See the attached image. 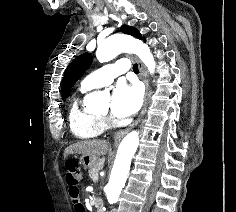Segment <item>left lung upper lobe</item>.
<instances>
[{
	"label": "left lung upper lobe",
	"instance_id": "obj_1",
	"mask_svg": "<svg viewBox=\"0 0 236 212\" xmlns=\"http://www.w3.org/2000/svg\"><path fill=\"white\" fill-rule=\"evenodd\" d=\"M121 31L123 33L135 36L139 39H144L142 38L141 34L139 31L131 26H123L121 28ZM92 56L89 53H84L78 57H76L70 65L67 67L64 77H63V82H62V97L65 99L69 93L70 89L73 87V85L77 82V80L83 75V73L90 67L92 64Z\"/></svg>",
	"mask_w": 236,
	"mask_h": 212
}]
</instances>
